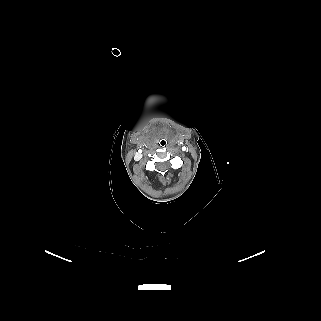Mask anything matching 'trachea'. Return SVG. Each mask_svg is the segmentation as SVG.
Masks as SVG:
<instances>
[{"instance_id":"trachea-1","label":"trachea","mask_w":321,"mask_h":321,"mask_svg":"<svg viewBox=\"0 0 321 321\" xmlns=\"http://www.w3.org/2000/svg\"><path fill=\"white\" fill-rule=\"evenodd\" d=\"M160 146L162 147V148H165L166 146H167V141H166V139H161V141H160Z\"/></svg>"}]
</instances>
